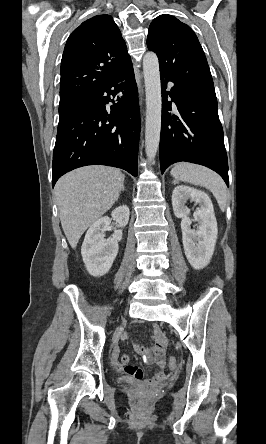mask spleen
I'll use <instances>...</instances> for the list:
<instances>
[{"label":"spleen","mask_w":266,"mask_h":444,"mask_svg":"<svg viewBox=\"0 0 266 444\" xmlns=\"http://www.w3.org/2000/svg\"><path fill=\"white\" fill-rule=\"evenodd\" d=\"M171 175L176 180L209 189L216 198L220 209L225 211L227 206L226 186L218 174L200 165L181 162L171 169Z\"/></svg>","instance_id":"1"}]
</instances>
